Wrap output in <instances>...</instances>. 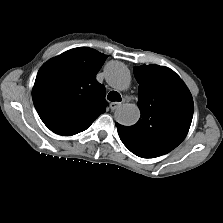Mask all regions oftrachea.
<instances>
[{"instance_id": "obj_1", "label": "trachea", "mask_w": 223, "mask_h": 223, "mask_svg": "<svg viewBox=\"0 0 223 223\" xmlns=\"http://www.w3.org/2000/svg\"><path fill=\"white\" fill-rule=\"evenodd\" d=\"M107 99L109 101H112V102H115V101L120 102L121 101V95L117 91H111L108 94Z\"/></svg>"}]
</instances>
